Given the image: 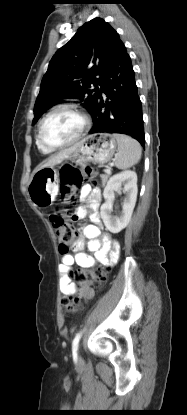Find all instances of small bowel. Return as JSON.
Masks as SVG:
<instances>
[{
  "instance_id": "c3829d8e",
  "label": "small bowel",
  "mask_w": 187,
  "mask_h": 415,
  "mask_svg": "<svg viewBox=\"0 0 187 415\" xmlns=\"http://www.w3.org/2000/svg\"><path fill=\"white\" fill-rule=\"evenodd\" d=\"M80 196L88 202V208H77L76 218H84L89 209L91 224L79 230L71 247L73 253H66L61 258L59 265L60 290L66 296L76 293V286L71 277V268L75 263L82 268H91L97 261L111 265L117 261L120 251L119 242L111 234L102 232L101 218L98 211L102 200L101 190L90 185H83L80 189ZM86 245L94 256L84 252Z\"/></svg>"
}]
</instances>
